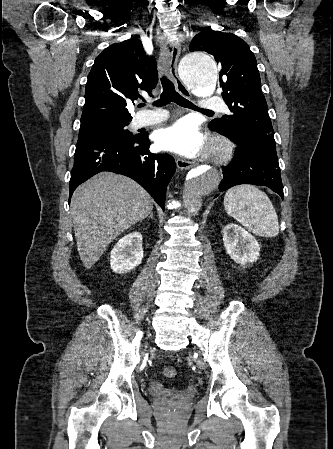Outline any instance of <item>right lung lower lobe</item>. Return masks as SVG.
<instances>
[{
    "instance_id": "98d812e1",
    "label": "right lung lower lobe",
    "mask_w": 333,
    "mask_h": 449,
    "mask_svg": "<svg viewBox=\"0 0 333 449\" xmlns=\"http://www.w3.org/2000/svg\"><path fill=\"white\" fill-rule=\"evenodd\" d=\"M138 135L133 139L99 137L78 140L69 202L81 183L101 171H109L134 179L164 210L166 188L175 172V161L168 154L151 153L148 134Z\"/></svg>"
}]
</instances>
